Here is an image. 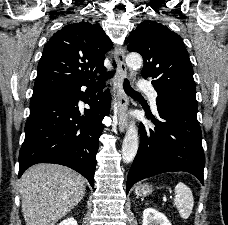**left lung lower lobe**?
Returning <instances> with one entry per match:
<instances>
[{
    "mask_svg": "<svg viewBox=\"0 0 228 225\" xmlns=\"http://www.w3.org/2000/svg\"><path fill=\"white\" fill-rule=\"evenodd\" d=\"M156 104L163 121H153L152 129L140 124V146L128 174L127 193L136 182L164 172H189L203 184L205 156L197 107L158 99Z\"/></svg>",
    "mask_w": 228,
    "mask_h": 225,
    "instance_id": "obj_1",
    "label": "left lung lower lobe"
}]
</instances>
